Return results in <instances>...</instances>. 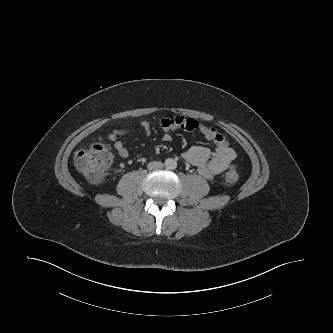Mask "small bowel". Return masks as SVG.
<instances>
[{"instance_id": "c3829d8e", "label": "small bowel", "mask_w": 333, "mask_h": 333, "mask_svg": "<svg viewBox=\"0 0 333 333\" xmlns=\"http://www.w3.org/2000/svg\"><path fill=\"white\" fill-rule=\"evenodd\" d=\"M160 126L164 131L163 139L165 141L171 140L170 132L183 129L199 131L207 140L214 144L213 151L207 147L197 145L190 147L183 153V158L188 163L197 166L199 174L208 180L215 178L218 174L226 170L236 157L235 151L223 135L213 127L204 125L196 119L181 116L163 118L160 121ZM141 127L147 136L150 135L151 127L148 122H143ZM128 131L127 128H116L108 136L109 140L113 142L115 151L122 159L128 158L129 151L119 138L128 133Z\"/></svg>"}]
</instances>
